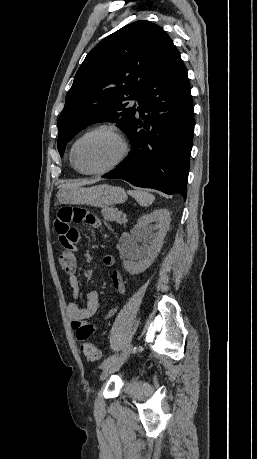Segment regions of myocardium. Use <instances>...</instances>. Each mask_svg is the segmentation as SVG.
Listing matches in <instances>:
<instances>
[{"mask_svg": "<svg viewBox=\"0 0 257 459\" xmlns=\"http://www.w3.org/2000/svg\"><path fill=\"white\" fill-rule=\"evenodd\" d=\"M97 132H108L112 134L114 137H116V139L119 141L121 145V152L111 164H109L108 166L104 168L97 169V170H84L79 166L76 160V155H75L76 148L82 140H84L88 136L95 134ZM128 153H129V145L122 131L114 125L102 124V125H98V126H95L89 129L84 134H82L79 138L76 139V141L73 143L71 150H70V159H71L72 165L78 172L82 174H86V175H102V174L111 172L112 170L120 166L122 162L126 159Z\"/></svg>", "mask_w": 257, "mask_h": 459, "instance_id": "myocardium-1", "label": "myocardium"}]
</instances>
